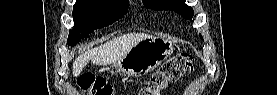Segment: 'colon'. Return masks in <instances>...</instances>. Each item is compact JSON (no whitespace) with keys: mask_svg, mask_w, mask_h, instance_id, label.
Masks as SVG:
<instances>
[{"mask_svg":"<svg viewBox=\"0 0 277 95\" xmlns=\"http://www.w3.org/2000/svg\"><path fill=\"white\" fill-rule=\"evenodd\" d=\"M193 71L192 57L188 53L177 54L164 63L145 83L139 95H159L168 85ZM79 86L89 94L111 95L112 86L103 79L86 76L80 79Z\"/></svg>","mask_w":277,"mask_h":95,"instance_id":"obj_1","label":"colon"}]
</instances>
